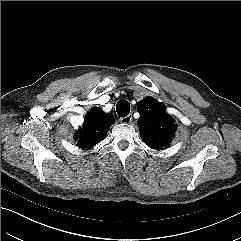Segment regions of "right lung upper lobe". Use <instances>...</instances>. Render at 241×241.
<instances>
[{"label": "right lung upper lobe", "instance_id": "cb5924a9", "mask_svg": "<svg viewBox=\"0 0 241 241\" xmlns=\"http://www.w3.org/2000/svg\"><path fill=\"white\" fill-rule=\"evenodd\" d=\"M113 122V117L103 113L101 109H91L84 120L83 127L76 133L77 145L83 149L95 146L103 139Z\"/></svg>", "mask_w": 241, "mask_h": 241}]
</instances>
